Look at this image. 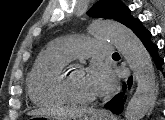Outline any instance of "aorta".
I'll return each mask as SVG.
<instances>
[{"mask_svg":"<svg viewBox=\"0 0 165 120\" xmlns=\"http://www.w3.org/2000/svg\"><path fill=\"white\" fill-rule=\"evenodd\" d=\"M90 30L96 37L111 40L130 65L137 89L126 107L125 117L141 120L150 108L155 92V73L149 53L136 35L119 22L96 20Z\"/></svg>","mask_w":165,"mask_h":120,"instance_id":"1","label":"aorta"}]
</instances>
